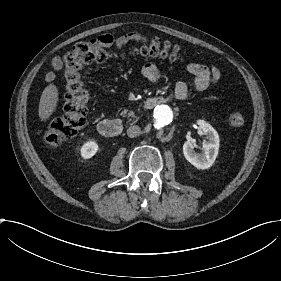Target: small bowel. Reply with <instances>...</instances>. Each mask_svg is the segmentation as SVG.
<instances>
[{"mask_svg":"<svg viewBox=\"0 0 281 281\" xmlns=\"http://www.w3.org/2000/svg\"><path fill=\"white\" fill-rule=\"evenodd\" d=\"M133 33L120 34L114 37L111 41L117 48H122L127 42L131 40ZM54 71H58L62 68L63 63L59 58L54 59ZM187 71L191 75L188 80L179 81L175 87L173 93L165 96H155L157 98V105L163 104L166 101L171 103L176 99L179 101H185L189 97L191 89L204 90L216 83L218 77V71L214 66L206 67L197 63H190L187 66ZM143 74L150 83H157L160 80V72L155 64L147 63L143 67ZM50 78L54 76L53 72L49 73Z\"/></svg>","mask_w":281,"mask_h":281,"instance_id":"c3829d8e","label":"small bowel"}]
</instances>
